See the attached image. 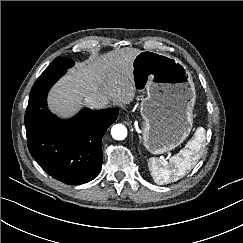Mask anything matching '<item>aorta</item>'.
I'll return each instance as SVG.
<instances>
[{
  "instance_id": "aorta-1",
  "label": "aorta",
  "mask_w": 243,
  "mask_h": 243,
  "mask_svg": "<svg viewBox=\"0 0 243 243\" xmlns=\"http://www.w3.org/2000/svg\"><path fill=\"white\" fill-rule=\"evenodd\" d=\"M111 135L115 140H124L127 137V128L123 124H116L111 129Z\"/></svg>"
}]
</instances>
